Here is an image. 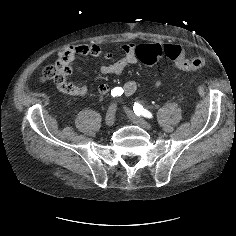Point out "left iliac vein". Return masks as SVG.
<instances>
[{"label": "left iliac vein", "mask_w": 236, "mask_h": 236, "mask_svg": "<svg viewBox=\"0 0 236 236\" xmlns=\"http://www.w3.org/2000/svg\"><path fill=\"white\" fill-rule=\"evenodd\" d=\"M125 112H126L128 118L134 124L144 128L146 130H151L152 129V126L147 121H145L143 118H140V117L136 116L130 109L125 107Z\"/></svg>", "instance_id": "4c4485c4"}]
</instances>
